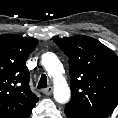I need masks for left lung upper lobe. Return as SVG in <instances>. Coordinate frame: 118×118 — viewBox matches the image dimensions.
Wrapping results in <instances>:
<instances>
[{
    "instance_id": "left-lung-upper-lobe-1",
    "label": "left lung upper lobe",
    "mask_w": 118,
    "mask_h": 118,
    "mask_svg": "<svg viewBox=\"0 0 118 118\" xmlns=\"http://www.w3.org/2000/svg\"><path fill=\"white\" fill-rule=\"evenodd\" d=\"M54 42L69 57L72 97L65 112L85 118H107L118 104L116 54L85 35Z\"/></svg>"
}]
</instances>
